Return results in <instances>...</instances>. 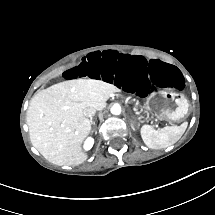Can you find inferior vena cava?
I'll list each match as a JSON object with an SVG mask.
<instances>
[{"label":"inferior vena cava","instance_id":"602c4592","mask_svg":"<svg viewBox=\"0 0 215 215\" xmlns=\"http://www.w3.org/2000/svg\"><path fill=\"white\" fill-rule=\"evenodd\" d=\"M95 113H96V109L93 107H86L83 109V115L85 117L92 118L95 115Z\"/></svg>","mask_w":215,"mask_h":215}]
</instances>
